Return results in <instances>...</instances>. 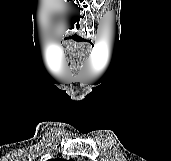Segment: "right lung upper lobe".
<instances>
[{"instance_id":"right-lung-upper-lobe-1","label":"right lung upper lobe","mask_w":171,"mask_h":161,"mask_svg":"<svg viewBox=\"0 0 171 161\" xmlns=\"http://www.w3.org/2000/svg\"><path fill=\"white\" fill-rule=\"evenodd\" d=\"M48 161H73V160H63V159L57 158V159H51V160H48Z\"/></svg>"}]
</instances>
